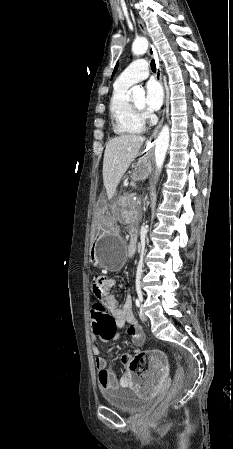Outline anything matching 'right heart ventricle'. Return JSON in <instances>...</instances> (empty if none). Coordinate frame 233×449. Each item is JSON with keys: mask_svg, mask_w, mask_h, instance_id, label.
<instances>
[{"mask_svg": "<svg viewBox=\"0 0 233 449\" xmlns=\"http://www.w3.org/2000/svg\"><path fill=\"white\" fill-rule=\"evenodd\" d=\"M129 86L114 84L109 103V112L113 131L117 135L140 134L145 129V122L131 108L128 97Z\"/></svg>", "mask_w": 233, "mask_h": 449, "instance_id": "obj_1", "label": "right heart ventricle"}]
</instances>
